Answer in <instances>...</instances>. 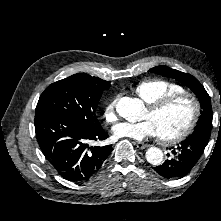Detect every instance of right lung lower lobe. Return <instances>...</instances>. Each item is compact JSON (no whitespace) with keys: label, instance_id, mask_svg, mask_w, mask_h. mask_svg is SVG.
Segmentation results:
<instances>
[{"label":"right lung lower lobe","instance_id":"1","mask_svg":"<svg viewBox=\"0 0 221 221\" xmlns=\"http://www.w3.org/2000/svg\"><path fill=\"white\" fill-rule=\"evenodd\" d=\"M34 121L42 153L66 180H87L112 151L111 145L92 146L108 137L102 127L89 129L48 109H36Z\"/></svg>","mask_w":221,"mask_h":221}]
</instances>
